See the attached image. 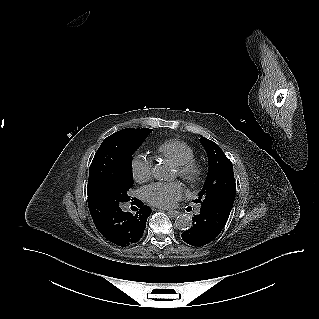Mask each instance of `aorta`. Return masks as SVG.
Wrapping results in <instances>:
<instances>
[{
    "label": "aorta",
    "instance_id": "obj_1",
    "mask_svg": "<svg viewBox=\"0 0 319 319\" xmlns=\"http://www.w3.org/2000/svg\"><path fill=\"white\" fill-rule=\"evenodd\" d=\"M152 175L156 180H165L168 177L167 169L157 164L152 170ZM175 225L179 230H188L192 226V218L187 214H180L176 217Z\"/></svg>",
    "mask_w": 319,
    "mask_h": 319
}]
</instances>
